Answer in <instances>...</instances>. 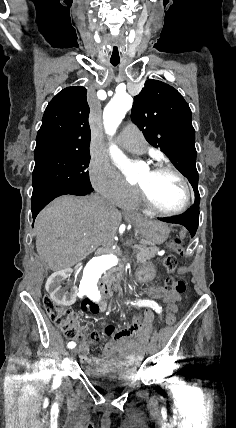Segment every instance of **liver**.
<instances>
[{
	"mask_svg": "<svg viewBox=\"0 0 236 428\" xmlns=\"http://www.w3.org/2000/svg\"><path fill=\"white\" fill-rule=\"evenodd\" d=\"M122 216L100 196H61L36 218V250L50 270L75 266L96 248H112Z\"/></svg>",
	"mask_w": 236,
	"mask_h": 428,
	"instance_id": "1",
	"label": "liver"
}]
</instances>
